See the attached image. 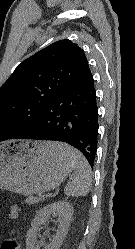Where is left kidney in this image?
I'll return each mask as SVG.
<instances>
[{"mask_svg": "<svg viewBox=\"0 0 135 249\" xmlns=\"http://www.w3.org/2000/svg\"><path fill=\"white\" fill-rule=\"evenodd\" d=\"M73 211V206L66 201L48 204L40 209L31 223V228L27 232L26 249H39V244H37V232L42 225L47 223L51 215L58 216L59 225L56 234L53 236L50 243L44 246V249H59L68 232Z\"/></svg>", "mask_w": 135, "mask_h": 249, "instance_id": "left-kidney-1", "label": "left kidney"}]
</instances>
